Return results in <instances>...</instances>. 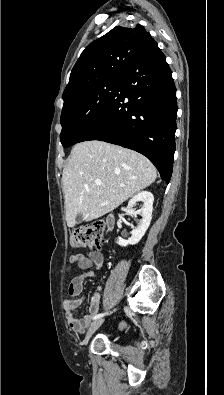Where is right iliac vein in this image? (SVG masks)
I'll use <instances>...</instances> for the list:
<instances>
[{
  "label": "right iliac vein",
  "instance_id": "63e3f726",
  "mask_svg": "<svg viewBox=\"0 0 224 395\" xmlns=\"http://www.w3.org/2000/svg\"><path fill=\"white\" fill-rule=\"evenodd\" d=\"M103 322H104V319H97L91 323V325L87 331V334L85 336V339H84L85 345L88 343L92 334L102 325Z\"/></svg>",
  "mask_w": 224,
  "mask_h": 395
}]
</instances>
